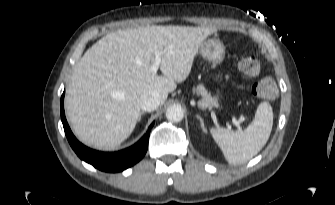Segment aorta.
<instances>
[{
    "label": "aorta",
    "instance_id": "1",
    "mask_svg": "<svg viewBox=\"0 0 335 205\" xmlns=\"http://www.w3.org/2000/svg\"><path fill=\"white\" fill-rule=\"evenodd\" d=\"M184 117V111L179 105H170L166 110V118L171 122H180Z\"/></svg>",
    "mask_w": 335,
    "mask_h": 205
}]
</instances>
